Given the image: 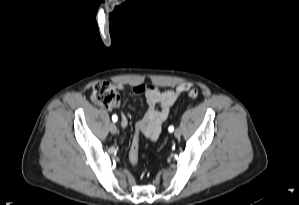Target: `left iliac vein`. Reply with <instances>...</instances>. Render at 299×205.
Masks as SVG:
<instances>
[{
	"label": "left iliac vein",
	"instance_id": "4c4485c4",
	"mask_svg": "<svg viewBox=\"0 0 299 205\" xmlns=\"http://www.w3.org/2000/svg\"><path fill=\"white\" fill-rule=\"evenodd\" d=\"M174 136H175L176 138H179V137L181 136V130H180L179 128L175 130V132H174Z\"/></svg>",
	"mask_w": 299,
	"mask_h": 205
}]
</instances>
